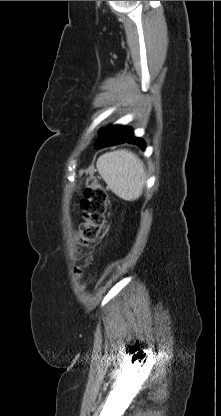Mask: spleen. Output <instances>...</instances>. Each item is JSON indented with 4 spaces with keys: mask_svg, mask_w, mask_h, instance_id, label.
I'll return each instance as SVG.
<instances>
[{
    "mask_svg": "<svg viewBox=\"0 0 221 416\" xmlns=\"http://www.w3.org/2000/svg\"><path fill=\"white\" fill-rule=\"evenodd\" d=\"M96 166L112 192L121 199L133 201L142 194L145 167L133 152L125 149L107 152L98 158Z\"/></svg>",
    "mask_w": 221,
    "mask_h": 416,
    "instance_id": "spleen-1",
    "label": "spleen"
}]
</instances>
